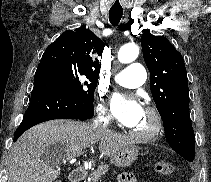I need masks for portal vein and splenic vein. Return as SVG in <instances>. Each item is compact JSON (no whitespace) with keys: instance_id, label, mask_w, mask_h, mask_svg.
I'll list each match as a JSON object with an SVG mask.
<instances>
[{"instance_id":"obj_1","label":"portal vein and splenic vein","mask_w":211,"mask_h":182,"mask_svg":"<svg viewBox=\"0 0 211 182\" xmlns=\"http://www.w3.org/2000/svg\"><path fill=\"white\" fill-rule=\"evenodd\" d=\"M76 153H84V152H82V151H79V152H76ZM75 153V154H76ZM72 156H66V159H70Z\"/></svg>"}]
</instances>
